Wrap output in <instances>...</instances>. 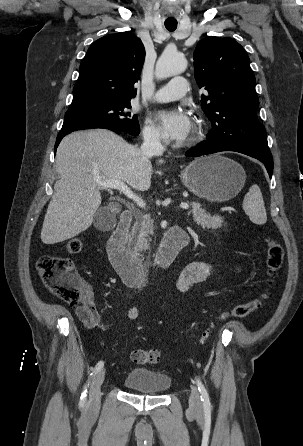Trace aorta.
Returning <instances> with one entry per match:
<instances>
[{
  "mask_svg": "<svg viewBox=\"0 0 303 446\" xmlns=\"http://www.w3.org/2000/svg\"><path fill=\"white\" fill-rule=\"evenodd\" d=\"M187 68L186 59L174 52L164 51L156 63L155 76L164 79L183 73Z\"/></svg>",
  "mask_w": 303,
  "mask_h": 446,
  "instance_id": "1",
  "label": "aorta"
}]
</instances>
